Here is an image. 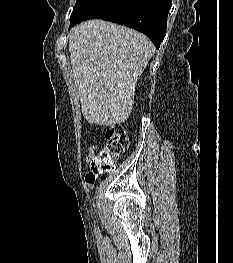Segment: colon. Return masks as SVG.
Segmentation results:
<instances>
[{"mask_svg": "<svg viewBox=\"0 0 233 263\" xmlns=\"http://www.w3.org/2000/svg\"><path fill=\"white\" fill-rule=\"evenodd\" d=\"M106 142L98 155L90 163V172L86 176L88 183H93L99 174L110 172L115 167L116 159L129 145L126 129L121 124L104 127Z\"/></svg>", "mask_w": 233, "mask_h": 263, "instance_id": "obj_1", "label": "colon"}]
</instances>
